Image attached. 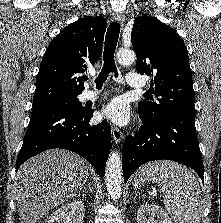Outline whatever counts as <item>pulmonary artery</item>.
<instances>
[{"instance_id":"1","label":"pulmonary artery","mask_w":221,"mask_h":223,"mask_svg":"<svg viewBox=\"0 0 221 223\" xmlns=\"http://www.w3.org/2000/svg\"><path fill=\"white\" fill-rule=\"evenodd\" d=\"M126 80L129 86L135 88H142L146 84V81L142 77H140L138 73L135 72H128L126 74ZM100 93V90L87 89L85 90L84 97L85 99H92Z\"/></svg>"}]
</instances>
